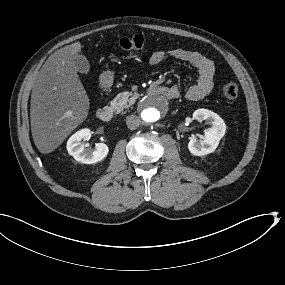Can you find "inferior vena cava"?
<instances>
[{
	"label": "inferior vena cava",
	"mask_w": 285,
	"mask_h": 285,
	"mask_svg": "<svg viewBox=\"0 0 285 285\" xmlns=\"http://www.w3.org/2000/svg\"><path fill=\"white\" fill-rule=\"evenodd\" d=\"M126 124L130 130H135L140 125V118L136 115H130L126 117Z\"/></svg>",
	"instance_id": "inferior-vena-cava-1"
}]
</instances>
